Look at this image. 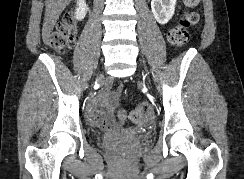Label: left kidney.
I'll use <instances>...</instances> for the list:
<instances>
[{
	"mask_svg": "<svg viewBox=\"0 0 244 179\" xmlns=\"http://www.w3.org/2000/svg\"><path fill=\"white\" fill-rule=\"evenodd\" d=\"M176 0H152L151 8L158 24H168L175 12Z\"/></svg>",
	"mask_w": 244,
	"mask_h": 179,
	"instance_id": "obj_1",
	"label": "left kidney"
}]
</instances>
